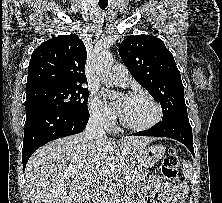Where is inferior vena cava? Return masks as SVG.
Listing matches in <instances>:
<instances>
[{
	"mask_svg": "<svg viewBox=\"0 0 222 203\" xmlns=\"http://www.w3.org/2000/svg\"><path fill=\"white\" fill-rule=\"evenodd\" d=\"M105 122V115L101 113H93L88 121L85 128V139L86 140H96L101 138H106L105 130L103 128ZM94 203H107L106 198L103 194V189L98 186L93 193Z\"/></svg>",
	"mask_w": 222,
	"mask_h": 203,
	"instance_id": "obj_1",
	"label": "inferior vena cava"
}]
</instances>
